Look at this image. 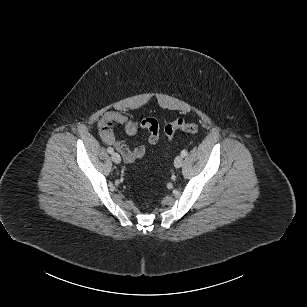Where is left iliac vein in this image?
Returning a JSON list of instances; mask_svg holds the SVG:
<instances>
[{
    "mask_svg": "<svg viewBox=\"0 0 307 307\" xmlns=\"http://www.w3.org/2000/svg\"><path fill=\"white\" fill-rule=\"evenodd\" d=\"M182 164H183V156L179 155V156H177V157L175 158V160H174V166H175L176 168H179V167L182 166Z\"/></svg>",
    "mask_w": 307,
    "mask_h": 307,
    "instance_id": "left-iliac-vein-1",
    "label": "left iliac vein"
}]
</instances>
